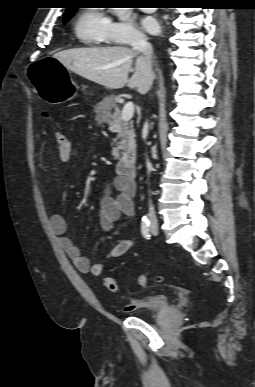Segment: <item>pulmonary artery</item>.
<instances>
[{
  "label": "pulmonary artery",
  "mask_w": 255,
  "mask_h": 387,
  "mask_svg": "<svg viewBox=\"0 0 255 387\" xmlns=\"http://www.w3.org/2000/svg\"><path fill=\"white\" fill-rule=\"evenodd\" d=\"M147 11H148V12H152L153 10H152V9H148Z\"/></svg>",
  "instance_id": "obj_1"
}]
</instances>
